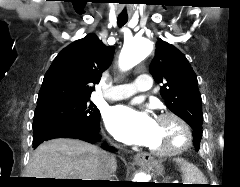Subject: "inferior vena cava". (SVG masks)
I'll list each match as a JSON object with an SVG mask.
<instances>
[{"instance_id":"1","label":"inferior vena cava","mask_w":240,"mask_h":187,"mask_svg":"<svg viewBox=\"0 0 240 187\" xmlns=\"http://www.w3.org/2000/svg\"><path fill=\"white\" fill-rule=\"evenodd\" d=\"M115 160L114 157L109 156L108 154H104L103 159H102V173H103V178H100V180H108L110 178V170H109V165L111 162Z\"/></svg>"}]
</instances>
